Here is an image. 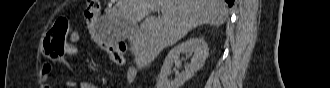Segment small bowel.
<instances>
[{
	"label": "small bowel",
	"mask_w": 330,
	"mask_h": 88,
	"mask_svg": "<svg viewBox=\"0 0 330 88\" xmlns=\"http://www.w3.org/2000/svg\"><path fill=\"white\" fill-rule=\"evenodd\" d=\"M80 35L79 32L76 29H72L71 32L68 35V40H67V46H66V51L65 54L62 58L58 59L60 61L64 60L66 57H72L77 53V42L79 41ZM109 57L110 56H115L118 53L121 54V63L119 65L123 64V57H122V52L121 49L118 48L115 45L110 44V47L108 49L104 50ZM53 71V67L50 64H44L41 70V81L46 82L50 76V74ZM66 86L68 88H74L76 87V82L74 80H68L66 83ZM90 86L86 82H82L80 84V88H89Z\"/></svg>",
	"instance_id": "c3829d8e"
}]
</instances>
